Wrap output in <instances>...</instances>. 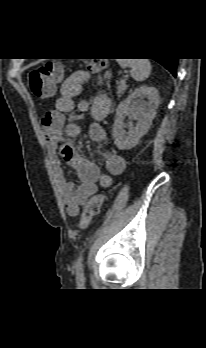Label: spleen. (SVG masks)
<instances>
[{"label": "spleen", "instance_id": "spleen-1", "mask_svg": "<svg viewBox=\"0 0 206 348\" xmlns=\"http://www.w3.org/2000/svg\"><path fill=\"white\" fill-rule=\"evenodd\" d=\"M122 68H131V76L136 81H144L151 73V63L148 59H118Z\"/></svg>", "mask_w": 206, "mask_h": 348}]
</instances>
